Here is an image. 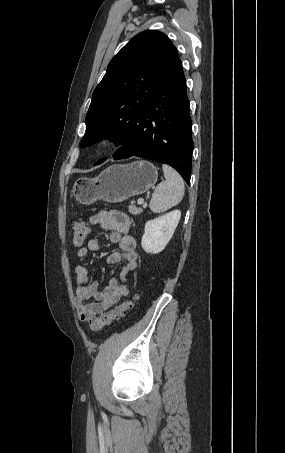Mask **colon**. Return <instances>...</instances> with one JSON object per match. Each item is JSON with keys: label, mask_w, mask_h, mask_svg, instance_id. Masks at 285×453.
Segmentation results:
<instances>
[{"label": "colon", "mask_w": 285, "mask_h": 453, "mask_svg": "<svg viewBox=\"0 0 285 453\" xmlns=\"http://www.w3.org/2000/svg\"><path fill=\"white\" fill-rule=\"evenodd\" d=\"M73 231V245L76 248H80L85 242L89 228L85 221L77 220L72 227ZM137 295L134 294L130 298L124 300L121 304L114 308L101 313L99 316H94L88 319L89 328L92 332H99L105 326L110 325L115 320H118L126 315V313L133 307V303L136 300Z\"/></svg>", "instance_id": "5ec220e1"}]
</instances>
